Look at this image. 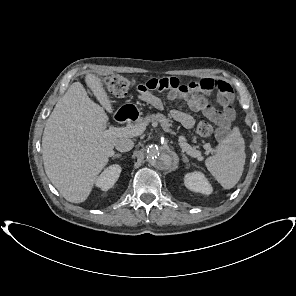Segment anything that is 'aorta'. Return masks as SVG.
<instances>
[{"instance_id":"1","label":"aorta","mask_w":296,"mask_h":296,"mask_svg":"<svg viewBox=\"0 0 296 296\" xmlns=\"http://www.w3.org/2000/svg\"><path fill=\"white\" fill-rule=\"evenodd\" d=\"M148 162L156 169H166L172 164L170 150L159 145H150L146 151Z\"/></svg>"}]
</instances>
